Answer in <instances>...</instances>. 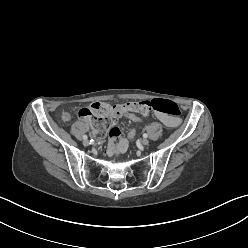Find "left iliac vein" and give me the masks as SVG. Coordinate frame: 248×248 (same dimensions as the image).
<instances>
[{"instance_id":"obj_1","label":"left iliac vein","mask_w":248,"mask_h":248,"mask_svg":"<svg viewBox=\"0 0 248 248\" xmlns=\"http://www.w3.org/2000/svg\"><path fill=\"white\" fill-rule=\"evenodd\" d=\"M141 143H142L144 146H147V145H149V140H148V139H143V140L141 141Z\"/></svg>"}]
</instances>
